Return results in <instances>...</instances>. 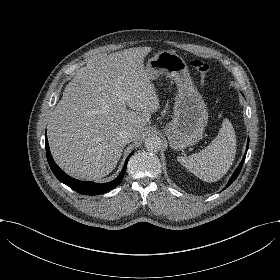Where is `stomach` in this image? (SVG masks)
<instances>
[{
  "mask_svg": "<svg viewBox=\"0 0 280 280\" xmlns=\"http://www.w3.org/2000/svg\"><path fill=\"white\" fill-rule=\"evenodd\" d=\"M146 70L150 80L165 75L177 85L174 116L164 129L170 147L181 151L199 142L208 122L207 106L193 84L184 59L174 51L163 50L148 60Z\"/></svg>",
  "mask_w": 280,
  "mask_h": 280,
  "instance_id": "1",
  "label": "stomach"
}]
</instances>
